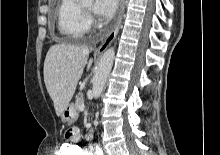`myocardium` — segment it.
Masks as SVG:
<instances>
[{
	"mask_svg": "<svg viewBox=\"0 0 220 155\" xmlns=\"http://www.w3.org/2000/svg\"><path fill=\"white\" fill-rule=\"evenodd\" d=\"M79 7L83 14L87 15L89 13V10L85 9L82 5H79Z\"/></svg>",
	"mask_w": 220,
	"mask_h": 155,
	"instance_id": "1",
	"label": "myocardium"
}]
</instances>
